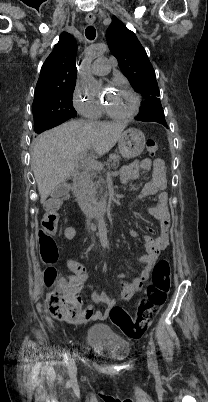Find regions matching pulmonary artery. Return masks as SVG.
<instances>
[{
	"label": "pulmonary artery",
	"mask_w": 208,
	"mask_h": 402,
	"mask_svg": "<svg viewBox=\"0 0 208 402\" xmlns=\"http://www.w3.org/2000/svg\"><path fill=\"white\" fill-rule=\"evenodd\" d=\"M95 54L97 56H101L103 54V52L98 51L95 52ZM108 63V59L101 56L99 57L91 66V72L94 74H98V75H104L107 74L109 71V68L107 66Z\"/></svg>",
	"instance_id": "e3ab8cb5"
}]
</instances>
